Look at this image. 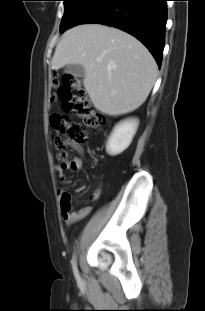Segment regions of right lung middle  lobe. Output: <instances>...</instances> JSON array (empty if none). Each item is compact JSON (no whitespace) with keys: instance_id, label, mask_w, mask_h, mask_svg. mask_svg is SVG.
<instances>
[{"instance_id":"right-lung-middle-lobe-1","label":"right lung middle lobe","mask_w":205,"mask_h":311,"mask_svg":"<svg viewBox=\"0 0 205 311\" xmlns=\"http://www.w3.org/2000/svg\"><path fill=\"white\" fill-rule=\"evenodd\" d=\"M65 4L64 15L60 25V32L70 28L86 9L91 0H63Z\"/></svg>"}]
</instances>
